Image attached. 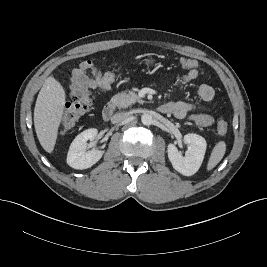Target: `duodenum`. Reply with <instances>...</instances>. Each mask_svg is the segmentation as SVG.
I'll use <instances>...</instances> for the list:
<instances>
[{
  "instance_id": "obj_1",
  "label": "duodenum",
  "mask_w": 267,
  "mask_h": 267,
  "mask_svg": "<svg viewBox=\"0 0 267 267\" xmlns=\"http://www.w3.org/2000/svg\"><path fill=\"white\" fill-rule=\"evenodd\" d=\"M115 109H116L115 103L108 102L102 110L103 118L105 120H109L113 116ZM159 111L162 113H167L169 111V106L167 104H163L159 107Z\"/></svg>"
}]
</instances>
